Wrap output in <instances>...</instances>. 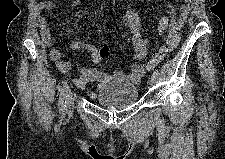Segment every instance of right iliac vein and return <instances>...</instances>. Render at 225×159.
<instances>
[{"label":"right iliac vein","instance_id":"63e3f726","mask_svg":"<svg viewBox=\"0 0 225 159\" xmlns=\"http://www.w3.org/2000/svg\"><path fill=\"white\" fill-rule=\"evenodd\" d=\"M74 100L75 96L71 91H69L67 97H66V109L68 112H71L74 106Z\"/></svg>","mask_w":225,"mask_h":159}]
</instances>
